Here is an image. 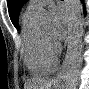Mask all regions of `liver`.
I'll list each match as a JSON object with an SVG mask.
<instances>
[{
  "mask_svg": "<svg viewBox=\"0 0 89 89\" xmlns=\"http://www.w3.org/2000/svg\"><path fill=\"white\" fill-rule=\"evenodd\" d=\"M56 87V81L51 79H43V78H33L28 80L24 89H51V87Z\"/></svg>",
  "mask_w": 89,
  "mask_h": 89,
  "instance_id": "obj_1",
  "label": "liver"
}]
</instances>
